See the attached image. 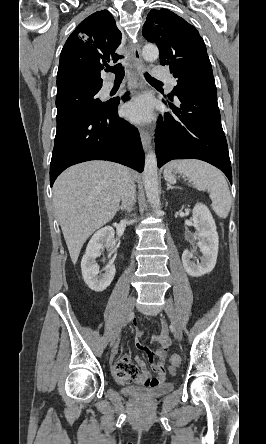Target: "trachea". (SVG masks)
<instances>
[{
  "label": "trachea",
  "instance_id": "3493384b",
  "mask_svg": "<svg viewBox=\"0 0 266 444\" xmlns=\"http://www.w3.org/2000/svg\"><path fill=\"white\" fill-rule=\"evenodd\" d=\"M106 71L114 73L115 79H122L124 77V67L121 63L115 65L114 67H108ZM144 76L148 82L161 83L159 80L155 79L147 72L144 74Z\"/></svg>",
  "mask_w": 266,
  "mask_h": 444
}]
</instances>
